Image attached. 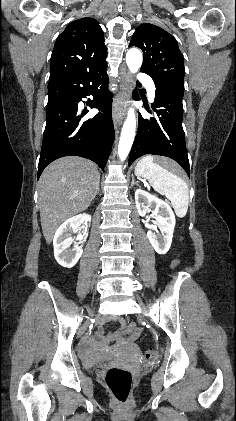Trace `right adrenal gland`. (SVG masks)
Listing matches in <instances>:
<instances>
[{
  "mask_svg": "<svg viewBox=\"0 0 236 421\" xmlns=\"http://www.w3.org/2000/svg\"><path fill=\"white\" fill-rule=\"evenodd\" d=\"M98 192H100V184H97V190H96V192H95V194L93 196V200H94L96 194H98Z\"/></svg>",
  "mask_w": 236,
  "mask_h": 421,
  "instance_id": "obj_1",
  "label": "right adrenal gland"
}]
</instances>
